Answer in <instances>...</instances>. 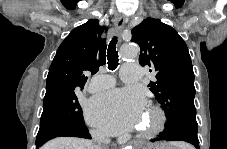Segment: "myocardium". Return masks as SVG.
<instances>
[{
    "instance_id": "f54148a6",
    "label": "myocardium",
    "mask_w": 227,
    "mask_h": 149,
    "mask_svg": "<svg viewBox=\"0 0 227 149\" xmlns=\"http://www.w3.org/2000/svg\"><path fill=\"white\" fill-rule=\"evenodd\" d=\"M149 114L152 116L151 123L140 130V136L145 138L158 135L166 124V115L162 108L150 105Z\"/></svg>"
}]
</instances>
